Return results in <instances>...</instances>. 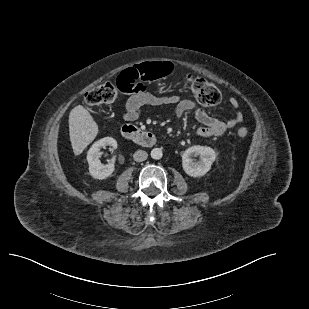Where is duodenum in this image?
<instances>
[{
    "label": "duodenum",
    "mask_w": 309,
    "mask_h": 309,
    "mask_svg": "<svg viewBox=\"0 0 309 309\" xmlns=\"http://www.w3.org/2000/svg\"><path fill=\"white\" fill-rule=\"evenodd\" d=\"M121 134L126 140L133 141L144 147H151L156 143V136L153 132L133 125H124L121 129Z\"/></svg>",
    "instance_id": "1"
}]
</instances>
